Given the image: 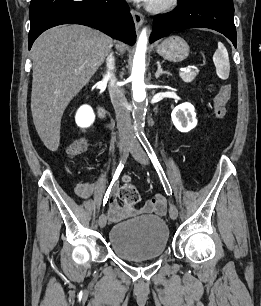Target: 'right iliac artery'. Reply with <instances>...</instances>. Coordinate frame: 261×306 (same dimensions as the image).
Listing matches in <instances>:
<instances>
[{"label": "right iliac artery", "instance_id": "1", "mask_svg": "<svg viewBox=\"0 0 261 306\" xmlns=\"http://www.w3.org/2000/svg\"><path fill=\"white\" fill-rule=\"evenodd\" d=\"M123 167H124L123 163L120 162L119 165H118V167H117V169H116V171H115V174H114V176H113V179H112V181H111V184L109 185V187H108V189H107V191H106V194H105V196H104V199H103V206L107 203L108 198H109V195H110V192H111V189H112V186H113L114 182L118 179V177H119V175H120V173H121Z\"/></svg>", "mask_w": 261, "mask_h": 306}]
</instances>
